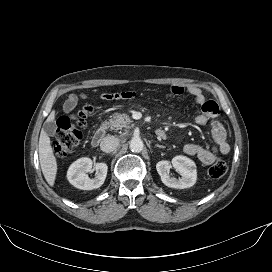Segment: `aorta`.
Here are the masks:
<instances>
[{
    "instance_id": "762f6f07",
    "label": "aorta",
    "mask_w": 272,
    "mask_h": 272,
    "mask_svg": "<svg viewBox=\"0 0 272 272\" xmlns=\"http://www.w3.org/2000/svg\"><path fill=\"white\" fill-rule=\"evenodd\" d=\"M144 144L140 138H132L129 143V148L132 152L139 153L143 150Z\"/></svg>"
}]
</instances>
